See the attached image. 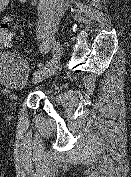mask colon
<instances>
[{
    "instance_id": "obj_1",
    "label": "colon",
    "mask_w": 131,
    "mask_h": 177,
    "mask_svg": "<svg viewBox=\"0 0 131 177\" xmlns=\"http://www.w3.org/2000/svg\"><path fill=\"white\" fill-rule=\"evenodd\" d=\"M12 34L9 30V21L2 19L0 21V49L10 46Z\"/></svg>"
}]
</instances>
